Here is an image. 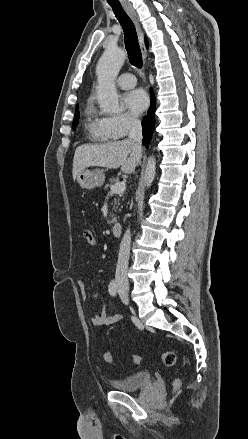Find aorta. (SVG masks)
<instances>
[{
	"instance_id": "762f6f07",
	"label": "aorta",
	"mask_w": 248,
	"mask_h": 439,
	"mask_svg": "<svg viewBox=\"0 0 248 439\" xmlns=\"http://www.w3.org/2000/svg\"><path fill=\"white\" fill-rule=\"evenodd\" d=\"M124 61L125 52L116 46H108L98 61L96 67L98 81L97 98L100 108L104 113H118L121 111L115 79ZM155 173V158L149 157L145 170V185L147 187L151 186Z\"/></svg>"
}]
</instances>
